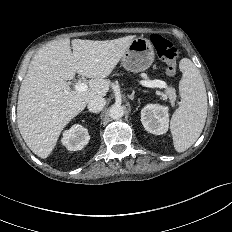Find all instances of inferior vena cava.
Listing matches in <instances>:
<instances>
[{
    "mask_svg": "<svg viewBox=\"0 0 232 232\" xmlns=\"http://www.w3.org/2000/svg\"><path fill=\"white\" fill-rule=\"evenodd\" d=\"M106 104V100L103 97H96L89 101L88 110L93 113L100 112Z\"/></svg>",
    "mask_w": 232,
    "mask_h": 232,
    "instance_id": "602c4592",
    "label": "inferior vena cava"
}]
</instances>
